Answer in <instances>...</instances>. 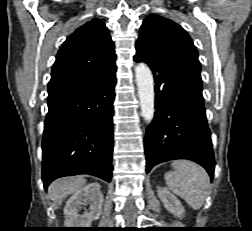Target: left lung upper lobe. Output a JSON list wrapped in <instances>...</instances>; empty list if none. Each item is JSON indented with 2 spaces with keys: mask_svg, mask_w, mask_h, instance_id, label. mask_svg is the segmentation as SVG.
<instances>
[{
  "mask_svg": "<svg viewBox=\"0 0 252 231\" xmlns=\"http://www.w3.org/2000/svg\"><path fill=\"white\" fill-rule=\"evenodd\" d=\"M136 54L147 58L177 59L201 69L198 53L188 33L174 21L151 14L143 21Z\"/></svg>",
  "mask_w": 252,
  "mask_h": 231,
  "instance_id": "left-lung-upper-lobe-1",
  "label": "left lung upper lobe"
}]
</instances>
